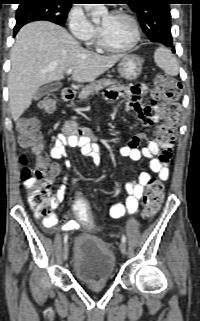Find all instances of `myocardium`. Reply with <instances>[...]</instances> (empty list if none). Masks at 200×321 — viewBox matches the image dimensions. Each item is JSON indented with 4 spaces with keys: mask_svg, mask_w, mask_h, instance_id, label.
I'll return each mask as SVG.
<instances>
[{
    "mask_svg": "<svg viewBox=\"0 0 200 321\" xmlns=\"http://www.w3.org/2000/svg\"><path fill=\"white\" fill-rule=\"evenodd\" d=\"M112 15L113 16L124 17V18L128 19L132 23L133 28H134V38H133L132 42L127 46L114 47V46H111L109 43L106 42V40L104 39L101 31L99 30L98 34H97V42H98V44L103 49H105L106 51L113 52V53H124V52L131 51L139 43V41L141 39V29H140V25H139L138 20L132 14H130V13L124 11V10L114 11L112 13Z\"/></svg>",
    "mask_w": 200,
    "mask_h": 321,
    "instance_id": "obj_1",
    "label": "myocardium"
}]
</instances>
